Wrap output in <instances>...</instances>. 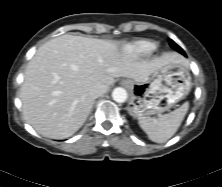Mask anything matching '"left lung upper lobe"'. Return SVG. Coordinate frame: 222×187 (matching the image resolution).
Here are the masks:
<instances>
[{"mask_svg":"<svg viewBox=\"0 0 222 187\" xmlns=\"http://www.w3.org/2000/svg\"><path fill=\"white\" fill-rule=\"evenodd\" d=\"M170 46L181 54L184 52L173 40L170 39Z\"/></svg>","mask_w":222,"mask_h":187,"instance_id":"1","label":"left lung upper lobe"}]
</instances>
